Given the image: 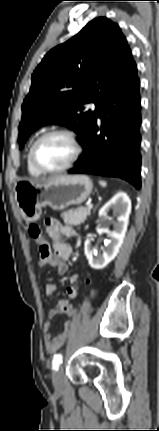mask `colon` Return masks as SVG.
Returning a JSON list of instances; mask_svg holds the SVG:
<instances>
[{
	"instance_id": "obj_1",
	"label": "colon",
	"mask_w": 159,
	"mask_h": 431,
	"mask_svg": "<svg viewBox=\"0 0 159 431\" xmlns=\"http://www.w3.org/2000/svg\"><path fill=\"white\" fill-rule=\"evenodd\" d=\"M29 234L32 238L36 239V241L38 243H40L39 245H40L41 249H44V247L46 245L45 244L46 236L41 235L40 227L37 224H31L30 225ZM87 281L90 284V287L88 289V294L86 295V298L83 299L84 305H89L91 301H97L98 300V295L95 292V290L97 289V284L95 283V281L91 277L88 278ZM78 311H79L78 307H75V310H68L67 311V319H74L75 314Z\"/></svg>"
}]
</instances>
